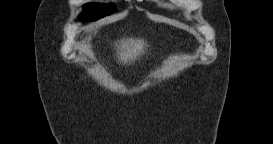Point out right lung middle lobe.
<instances>
[{"mask_svg": "<svg viewBox=\"0 0 273 144\" xmlns=\"http://www.w3.org/2000/svg\"><path fill=\"white\" fill-rule=\"evenodd\" d=\"M84 12L81 19L84 21H95L116 11L114 5H102L98 3H88L83 6Z\"/></svg>", "mask_w": 273, "mask_h": 144, "instance_id": "1", "label": "right lung middle lobe"}]
</instances>
